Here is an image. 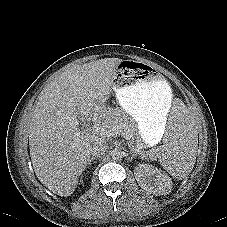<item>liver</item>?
Listing matches in <instances>:
<instances>
[{"mask_svg": "<svg viewBox=\"0 0 227 227\" xmlns=\"http://www.w3.org/2000/svg\"><path fill=\"white\" fill-rule=\"evenodd\" d=\"M105 58L67 68L41 92L30 122V156L39 181L59 196H70L99 138L79 131V117L104 105L112 92L111 69L120 61ZM78 134V135H77Z\"/></svg>", "mask_w": 227, "mask_h": 227, "instance_id": "6515ba94", "label": "liver"}]
</instances>
